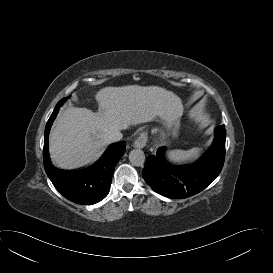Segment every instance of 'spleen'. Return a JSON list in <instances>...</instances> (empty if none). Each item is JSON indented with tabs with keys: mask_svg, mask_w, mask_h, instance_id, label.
Returning a JSON list of instances; mask_svg holds the SVG:
<instances>
[{
	"mask_svg": "<svg viewBox=\"0 0 273 273\" xmlns=\"http://www.w3.org/2000/svg\"><path fill=\"white\" fill-rule=\"evenodd\" d=\"M198 152H199L198 148H193L189 151L176 150V151L172 152V156L176 160L186 159L189 157L196 156Z\"/></svg>",
	"mask_w": 273,
	"mask_h": 273,
	"instance_id": "spleen-1",
	"label": "spleen"
}]
</instances>
